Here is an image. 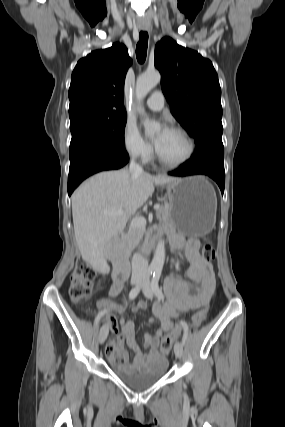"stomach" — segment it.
<instances>
[{
    "label": "stomach",
    "mask_w": 285,
    "mask_h": 427,
    "mask_svg": "<svg viewBox=\"0 0 285 427\" xmlns=\"http://www.w3.org/2000/svg\"><path fill=\"white\" fill-rule=\"evenodd\" d=\"M170 222L185 236L202 237L214 228L217 198L203 176L176 178L166 185Z\"/></svg>",
    "instance_id": "obj_1"
}]
</instances>
